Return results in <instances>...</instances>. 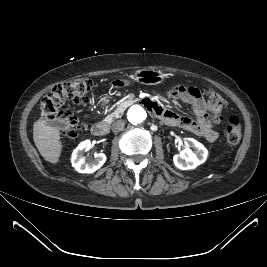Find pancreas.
Masks as SVG:
<instances>
[{
    "label": "pancreas",
    "mask_w": 267,
    "mask_h": 267,
    "mask_svg": "<svg viewBox=\"0 0 267 267\" xmlns=\"http://www.w3.org/2000/svg\"><path fill=\"white\" fill-rule=\"evenodd\" d=\"M122 113L118 110L114 111L110 115H108L105 119L104 122L111 123L114 121V119L121 117Z\"/></svg>",
    "instance_id": "pancreas-1"
}]
</instances>
